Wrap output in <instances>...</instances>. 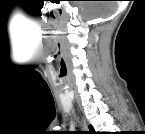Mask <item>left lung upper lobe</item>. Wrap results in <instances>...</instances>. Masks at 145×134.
Masks as SVG:
<instances>
[{
  "label": "left lung upper lobe",
  "instance_id": "1",
  "mask_svg": "<svg viewBox=\"0 0 145 134\" xmlns=\"http://www.w3.org/2000/svg\"><path fill=\"white\" fill-rule=\"evenodd\" d=\"M89 129H90V133L94 134V129H93V127L91 125L89 126Z\"/></svg>",
  "mask_w": 145,
  "mask_h": 134
}]
</instances>
